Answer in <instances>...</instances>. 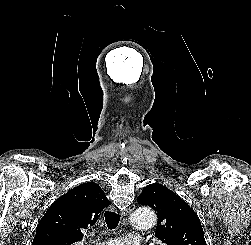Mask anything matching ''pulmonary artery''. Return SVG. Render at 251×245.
I'll use <instances>...</instances> for the list:
<instances>
[{"label":"pulmonary artery","mask_w":251,"mask_h":245,"mask_svg":"<svg viewBox=\"0 0 251 245\" xmlns=\"http://www.w3.org/2000/svg\"><path fill=\"white\" fill-rule=\"evenodd\" d=\"M142 238L137 234H128L122 238L111 239L101 242L99 245H141Z\"/></svg>","instance_id":"1"}]
</instances>
